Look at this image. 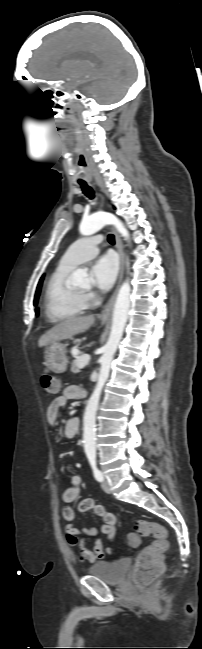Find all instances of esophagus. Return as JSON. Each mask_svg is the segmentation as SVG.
I'll return each instance as SVG.
<instances>
[{"mask_svg":"<svg viewBox=\"0 0 202 649\" xmlns=\"http://www.w3.org/2000/svg\"><path fill=\"white\" fill-rule=\"evenodd\" d=\"M113 233L115 235L116 247H117V250H118V253H119V257H120V276H119L118 286H117L115 292L113 293L110 300L106 304L104 310L102 311V314H101L102 319H107L111 315L112 308H113L115 298H116V294H117L119 285H120L121 280H122L123 269H124V254H123L122 241H121V238L119 237V235L117 234V232L114 229H113Z\"/></svg>","mask_w":202,"mask_h":649,"instance_id":"obj_1","label":"esophagus"}]
</instances>
